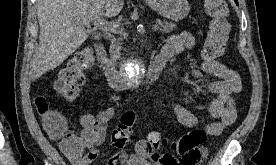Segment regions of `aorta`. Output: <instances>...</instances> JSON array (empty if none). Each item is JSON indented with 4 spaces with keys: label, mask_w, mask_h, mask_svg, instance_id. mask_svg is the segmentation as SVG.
I'll return each instance as SVG.
<instances>
[{
    "label": "aorta",
    "mask_w": 276,
    "mask_h": 165,
    "mask_svg": "<svg viewBox=\"0 0 276 165\" xmlns=\"http://www.w3.org/2000/svg\"><path fill=\"white\" fill-rule=\"evenodd\" d=\"M145 74L144 65L137 59H130L126 62L123 69L125 82L131 86H138Z\"/></svg>",
    "instance_id": "aorta-1"
}]
</instances>
